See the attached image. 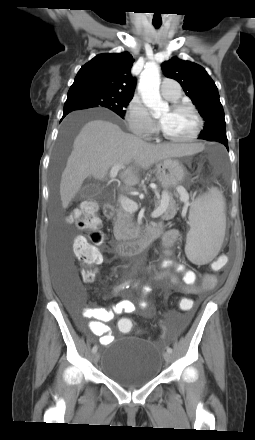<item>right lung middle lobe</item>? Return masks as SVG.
I'll return each instance as SVG.
<instances>
[{"label": "right lung middle lobe", "instance_id": "dd1d6c3e", "mask_svg": "<svg viewBox=\"0 0 255 440\" xmlns=\"http://www.w3.org/2000/svg\"><path fill=\"white\" fill-rule=\"evenodd\" d=\"M132 98L133 97L113 95L104 92L68 94L64 105V112L93 107H105L124 118V113L126 112L124 108L127 107Z\"/></svg>", "mask_w": 255, "mask_h": 440}]
</instances>
